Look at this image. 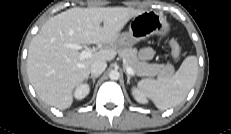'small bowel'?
Listing matches in <instances>:
<instances>
[{
  "label": "small bowel",
  "instance_id": "obj_1",
  "mask_svg": "<svg viewBox=\"0 0 231 134\" xmlns=\"http://www.w3.org/2000/svg\"><path fill=\"white\" fill-rule=\"evenodd\" d=\"M154 50L150 47H146L140 50L139 57L144 61L151 60L154 57Z\"/></svg>",
  "mask_w": 231,
  "mask_h": 134
}]
</instances>
